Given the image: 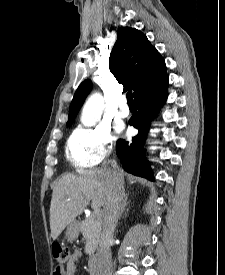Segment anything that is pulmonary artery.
<instances>
[{
    "label": "pulmonary artery",
    "mask_w": 225,
    "mask_h": 275,
    "mask_svg": "<svg viewBox=\"0 0 225 275\" xmlns=\"http://www.w3.org/2000/svg\"><path fill=\"white\" fill-rule=\"evenodd\" d=\"M118 115L121 117H127L129 115V108L126 105V101L124 99L121 100L120 106L118 108Z\"/></svg>",
    "instance_id": "1"
}]
</instances>
